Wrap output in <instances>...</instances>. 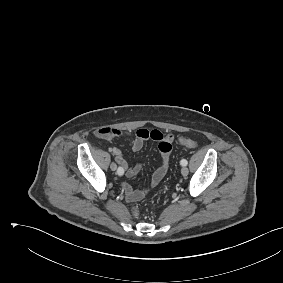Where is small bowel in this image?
<instances>
[{
    "instance_id": "small-bowel-1",
    "label": "small bowel",
    "mask_w": 283,
    "mask_h": 283,
    "mask_svg": "<svg viewBox=\"0 0 283 283\" xmlns=\"http://www.w3.org/2000/svg\"><path fill=\"white\" fill-rule=\"evenodd\" d=\"M95 136L99 139L111 141L114 139H125L129 142L132 150L139 151L142 149L145 141L152 139L159 142L158 148L161 154V162L158 168L153 173L148 185L134 189L127 183L122 184V189L126 199L129 201H137L143 198L147 192L157 186L165 176L170 163L171 143L173 136L171 134H163L159 130H148L145 128L138 129L135 133L130 131L120 130L111 127H103L95 132ZM116 162L123 168L127 177H134L141 171V165L130 166L123 157L120 148L114 146L111 149Z\"/></svg>"
}]
</instances>
